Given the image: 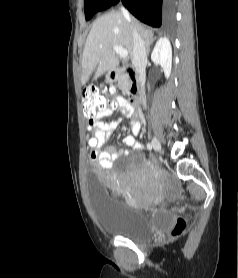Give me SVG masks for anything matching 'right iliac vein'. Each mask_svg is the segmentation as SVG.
<instances>
[{"label":"right iliac vein","instance_id":"1","mask_svg":"<svg viewBox=\"0 0 238 278\" xmlns=\"http://www.w3.org/2000/svg\"><path fill=\"white\" fill-rule=\"evenodd\" d=\"M152 146L155 151H161L160 141L155 136L152 138Z\"/></svg>","mask_w":238,"mask_h":278}]
</instances>
